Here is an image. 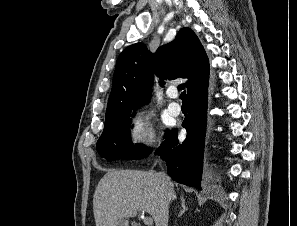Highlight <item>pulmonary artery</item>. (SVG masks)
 <instances>
[{"mask_svg": "<svg viewBox=\"0 0 297 226\" xmlns=\"http://www.w3.org/2000/svg\"><path fill=\"white\" fill-rule=\"evenodd\" d=\"M168 95L171 98H175L176 97V93L175 92H169ZM168 111L171 115L173 116H178L181 113V106L178 103L172 102L168 105Z\"/></svg>", "mask_w": 297, "mask_h": 226, "instance_id": "obj_1", "label": "pulmonary artery"}]
</instances>
